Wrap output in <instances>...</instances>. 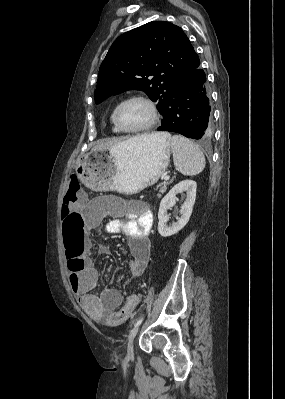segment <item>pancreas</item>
Segmentation results:
<instances>
[{"instance_id": "1", "label": "pancreas", "mask_w": 285, "mask_h": 399, "mask_svg": "<svg viewBox=\"0 0 285 399\" xmlns=\"http://www.w3.org/2000/svg\"><path fill=\"white\" fill-rule=\"evenodd\" d=\"M172 181H167L159 184L156 190H159V193H164L167 190L168 185H170Z\"/></svg>"}]
</instances>
